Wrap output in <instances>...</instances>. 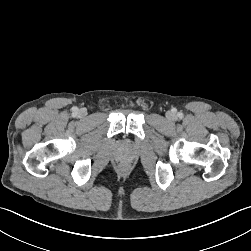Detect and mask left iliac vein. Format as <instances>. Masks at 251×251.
I'll return each mask as SVG.
<instances>
[{"mask_svg": "<svg viewBox=\"0 0 251 251\" xmlns=\"http://www.w3.org/2000/svg\"><path fill=\"white\" fill-rule=\"evenodd\" d=\"M167 118L171 120V119H173V118H174V115H173V114H171V113H168V114H167Z\"/></svg>", "mask_w": 251, "mask_h": 251, "instance_id": "4c4485c4", "label": "left iliac vein"}]
</instances>
